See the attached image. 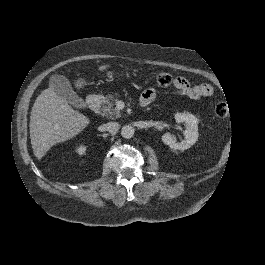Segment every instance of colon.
Here are the masks:
<instances>
[{"label": "colon", "mask_w": 265, "mask_h": 265, "mask_svg": "<svg viewBox=\"0 0 265 265\" xmlns=\"http://www.w3.org/2000/svg\"><path fill=\"white\" fill-rule=\"evenodd\" d=\"M156 80L160 86H168L171 83L172 78H171L170 74H168L166 72H160L157 74ZM82 84H83V81L81 78L76 79L75 86L77 88H80L82 86ZM229 111L230 110H229L228 104H226L224 102L217 103L214 107V112L219 117L227 116Z\"/></svg>", "instance_id": "obj_1"}]
</instances>
